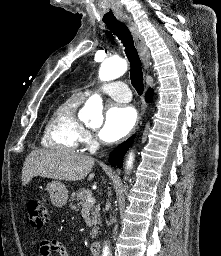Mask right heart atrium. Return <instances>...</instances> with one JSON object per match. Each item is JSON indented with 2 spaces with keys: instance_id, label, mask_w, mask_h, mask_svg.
<instances>
[{
  "instance_id": "d8ad5b80",
  "label": "right heart atrium",
  "mask_w": 221,
  "mask_h": 256,
  "mask_svg": "<svg viewBox=\"0 0 221 256\" xmlns=\"http://www.w3.org/2000/svg\"><path fill=\"white\" fill-rule=\"evenodd\" d=\"M81 141L86 144H90L92 142V136L89 131L83 129L81 135Z\"/></svg>"
}]
</instances>
